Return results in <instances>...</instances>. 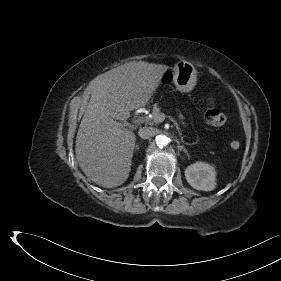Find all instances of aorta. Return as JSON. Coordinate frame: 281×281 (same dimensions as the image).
Masks as SVG:
<instances>
[{"label":"aorta","instance_id":"762f6f07","mask_svg":"<svg viewBox=\"0 0 281 281\" xmlns=\"http://www.w3.org/2000/svg\"><path fill=\"white\" fill-rule=\"evenodd\" d=\"M155 142L159 148H163L164 146L168 145L169 138L166 135H157L155 138Z\"/></svg>","mask_w":281,"mask_h":281}]
</instances>
